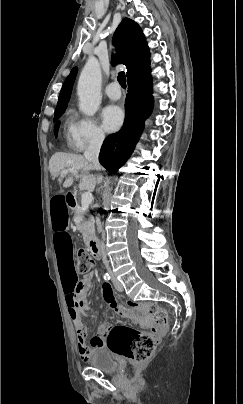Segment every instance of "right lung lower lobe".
I'll return each instance as SVG.
<instances>
[{
    "label": "right lung lower lobe",
    "instance_id": "1",
    "mask_svg": "<svg viewBox=\"0 0 243 404\" xmlns=\"http://www.w3.org/2000/svg\"><path fill=\"white\" fill-rule=\"evenodd\" d=\"M150 69L128 81L126 116L122 129L106 138L99 161L109 172L116 173L134 150L153 108Z\"/></svg>",
    "mask_w": 243,
    "mask_h": 404
}]
</instances>
